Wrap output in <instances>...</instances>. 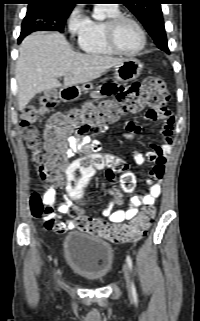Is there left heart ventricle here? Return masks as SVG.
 <instances>
[{"label":"left heart ventricle","mask_w":200,"mask_h":321,"mask_svg":"<svg viewBox=\"0 0 200 321\" xmlns=\"http://www.w3.org/2000/svg\"><path fill=\"white\" fill-rule=\"evenodd\" d=\"M116 41L121 49L131 52L140 47L141 35L132 22L125 20L117 28Z\"/></svg>","instance_id":"1"}]
</instances>
